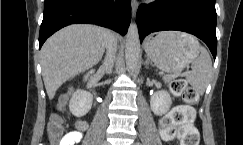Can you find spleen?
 Listing matches in <instances>:
<instances>
[{
	"label": "spleen",
	"mask_w": 243,
	"mask_h": 145,
	"mask_svg": "<svg viewBox=\"0 0 243 145\" xmlns=\"http://www.w3.org/2000/svg\"><path fill=\"white\" fill-rule=\"evenodd\" d=\"M200 55L192 61V71L187 74L186 79L195 91L202 95L209 83L212 74V61L208 51L199 46Z\"/></svg>",
	"instance_id": "obj_1"
}]
</instances>
